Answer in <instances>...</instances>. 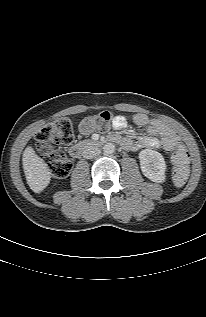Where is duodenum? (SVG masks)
<instances>
[{
    "label": "duodenum",
    "instance_id": "1",
    "mask_svg": "<svg viewBox=\"0 0 206 317\" xmlns=\"http://www.w3.org/2000/svg\"><path fill=\"white\" fill-rule=\"evenodd\" d=\"M105 141L107 142H113V143H117V142H122V138L116 135H111L108 136ZM101 143L100 140H92L89 142H84L78 145H75L73 147L70 148V155L73 158H80L82 156V154L87 151L90 148H93L95 146H98Z\"/></svg>",
    "mask_w": 206,
    "mask_h": 317
}]
</instances>
